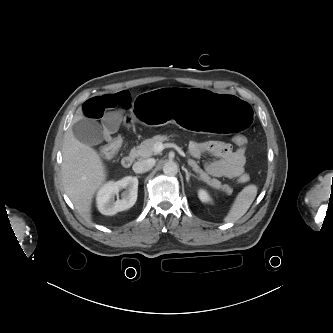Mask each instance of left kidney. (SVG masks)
Instances as JSON below:
<instances>
[{
  "label": "left kidney",
  "mask_w": 333,
  "mask_h": 333,
  "mask_svg": "<svg viewBox=\"0 0 333 333\" xmlns=\"http://www.w3.org/2000/svg\"><path fill=\"white\" fill-rule=\"evenodd\" d=\"M198 196H199V199L204 203H207L211 200L208 193L203 189L199 190Z\"/></svg>",
  "instance_id": "1"
}]
</instances>
